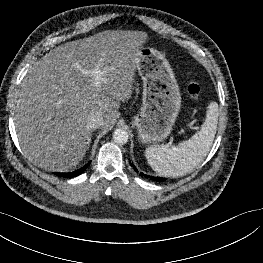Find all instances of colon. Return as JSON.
Masks as SVG:
<instances>
[{
	"mask_svg": "<svg viewBox=\"0 0 263 263\" xmlns=\"http://www.w3.org/2000/svg\"><path fill=\"white\" fill-rule=\"evenodd\" d=\"M187 93L192 100H197L200 97L201 89L200 86L192 81L187 87Z\"/></svg>",
	"mask_w": 263,
	"mask_h": 263,
	"instance_id": "1",
	"label": "colon"
}]
</instances>
